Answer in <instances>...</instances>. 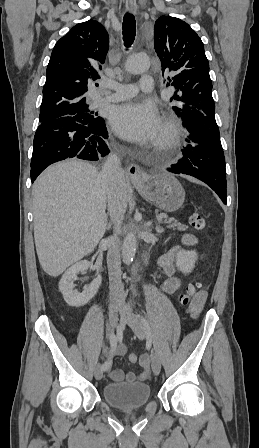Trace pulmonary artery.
Returning <instances> with one entry per match:
<instances>
[{"mask_svg": "<svg viewBox=\"0 0 259 448\" xmlns=\"http://www.w3.org/2000/svg\"><path fill=\"white\" fill-rule=\"evenodd\" d=\"M137 57V54L131 53L128 55L126 61H125V67L128 72L133 74H140L145 71L144 67H141L135 62V58ZM143 78L151 80L152 78L148 75H144ZM102 88H109L111 90H114L115 93H112L111 95L102 96L100 98L101 101L105 102H117L121 100L128 99L132 96H134L137 93V90L133 88L131 84H121L114 81H106L102 84L98 90L100 91Z\"/></svg>", "mask_w": 259, "mask_h": 448, "instance_id": "1", "label": "pulmonary artery"}]
</instances>
